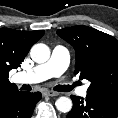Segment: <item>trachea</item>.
<instances>
[{
	"label": "trachea",
	"instance_id": "1",
	"mask_svg": "<svg viewBox=\"0 0 118 118\" xmlns=\"http://www.w3.org/2000/svg\"><path fill=\"white\" fill-rule=\"evenodd\" d=\"M73 85L70 86V85H57L54 87V90L55 91H59V92H69L73 89Z\"/></svg>",
	"mask_w": 118,
	"mask_h": 118
}]
</instances>
